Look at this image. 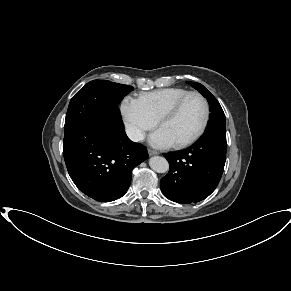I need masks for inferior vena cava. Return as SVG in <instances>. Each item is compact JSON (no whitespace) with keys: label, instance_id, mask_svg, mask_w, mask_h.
<instances>
[{"label":"inferior vena cava","instance_id":"1","mask_svg":"<svg viewBox=\"0 0 291 291\" xmlns=\"http://www.w3.org/2000/svg\"><path fill=\"white\" fill-rule=\"evenodd\" d=\"M126 134L134 142H138L144 139L143 132L136 127H132V126L127 127Z\"/></svg>","mask_w":291,"mask_h":291}]
</instances>
